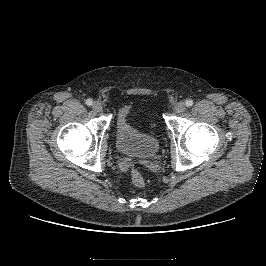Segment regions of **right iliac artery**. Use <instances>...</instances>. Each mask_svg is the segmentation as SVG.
Returning <instances> with one entry per match:
<instances>
[{
  "mask_svg": "<svg viewBox=\"0 0 266 266\" xmlns=\"http://www.w3.org/2000/svg\"><path fill=\"white\" fill-rule=\"evenodd\" d=\"M92 103H93V101H92L91 99H87V100H86V104H87V105L90 106V105H92Z\"/></svg>",
  "mask_w": 266,
  "mask_h": 266,
  "instance_id": "1",
  "label": "right iliac artery"
}]
</instances>
